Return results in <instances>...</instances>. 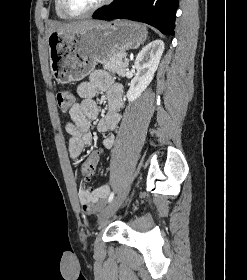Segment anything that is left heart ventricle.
<instances>
[{
    "label": "left heart ventricle",
    "mask_w": 247,
    "mask_h": 280,
    "mask_svg": "<svg viewBox=\"0 0 247 280\" xmlns=\"http://www.w3.org/2000/svg\"><path fill=\"white\" fill-rule=\"evenodd\" d=\"M69 8L74 12L88 10L98 4L101 0H67Z\"/></svg>",
    "instance_id": "obj_1"
}]
</instances>
